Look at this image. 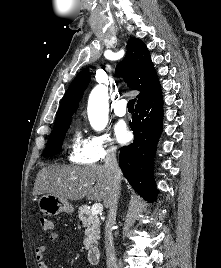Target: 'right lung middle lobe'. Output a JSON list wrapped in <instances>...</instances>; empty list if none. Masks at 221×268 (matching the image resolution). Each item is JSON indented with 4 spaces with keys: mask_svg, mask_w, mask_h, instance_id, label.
Here are the masks:
<instances>
[{
    "mask_svg": "<svg viewBox=\"0 0 221 268\" xmlns=\"http://www.w3.org/2000/svg\"><path fill=\"white\" fill-rule=\"evenodd\" d=\"M70 123L71 120L54 126V129L48 139L46 148L42 154L44 157L54 156L59 152Z\"/></svg>",
    "mask_w": 221,
    "mask_h": 268,
    "instance_id": "right-lung-middle-lobe-1",
    "label": "right lung middle lobe"
}]
</instances>
